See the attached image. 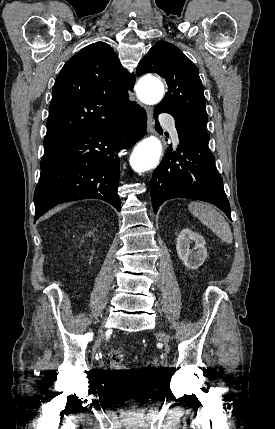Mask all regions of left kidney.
Returning a JSON list of instances; mask_svg holds the SVG:
<instances>
[{"label":"left kidney","mask_w":275,"mask_h":429,"mask_svg":"<svg viewBox=\"0 0 275 429\" xmlns=\"http://www.w3.org/2000/svg\"><path fill=\"white\" fill-rule=\"evenodd\" d=\"M192 243H195V247L190 249ZM176 250L188 269H198L207 257L204 238L189 228L183 229L178 235Z\"/></svg>","instance_id":"obj_1"}]
</instances>
